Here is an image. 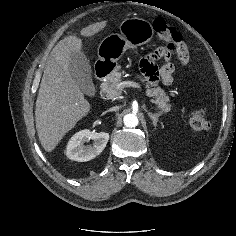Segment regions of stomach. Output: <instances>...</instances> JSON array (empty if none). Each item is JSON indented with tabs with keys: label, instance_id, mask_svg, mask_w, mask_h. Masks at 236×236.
<instances>
[{
	"label": "stomach",
	"instance_id": "1",
	"mask_svg": "<svg viewBox=\"0 0 236 236\" xmlns=\"http://www.w3.org/2000/svg\"><path fill=\"white\" fill-rule=\"evenodd\" d=\"M119 33L105 37L98 47V60L115 70L125 51L151 41L154 30L151 23L141 18H126L119 25Z\"/></svg>",
	"mask_w": 236,
	"mask_h": 236
}]
</instances>
